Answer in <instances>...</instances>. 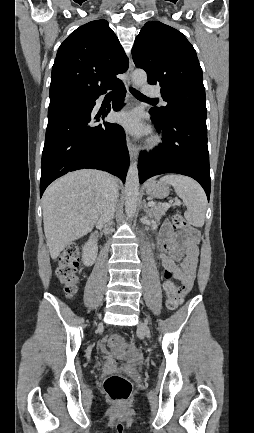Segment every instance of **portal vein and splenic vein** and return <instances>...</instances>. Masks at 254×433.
I'll return each instance as SVG.
<instances>
[{
    "label": "portal vein and splenic vein",
    "mask_w": 254,
    "mask_h": 433,
    "mask_svg": "<svg viewBox=\"0 0 254 433\" xmlns=\"http://www.w3.org/2000/svg\"><path fill=\"white\" fill-rule=\"evenodd\" d=\"M175 204L180 205V201H179V200H176V201H175ZM148 205H149V206H153V205H155V203L152 202V201H150V202H148ZM165 206L169 207L168 204H166Z\"/></svg>",
    "instance_id": "obj_1"
}]
</instances>
